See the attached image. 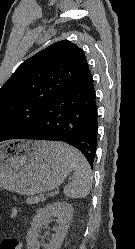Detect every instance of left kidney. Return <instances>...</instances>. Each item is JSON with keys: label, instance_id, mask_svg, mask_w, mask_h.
Returning <instances> with one entry per match:
<instances>
[{"label": "left kidney", "instance_id": "left-kidney-1", "mask_svg": "<svg viewBox=\"0 0 135 249\" xmlns=\"http://www.w3.org/2000/svg\"><path fill=\"white\" fill-rule=\"evenodd\" d=\"M73 215V207L66 202H55L40 209L32 220L31 228L27 233V249H40L37 241L38 233L43 225H47L52 216H56L58 226L56 234L49 244L44 245V249H59L68 232L70 221Z\"/></svg>", "mask_w": 135, "mask_h": 249}]
</instances>
